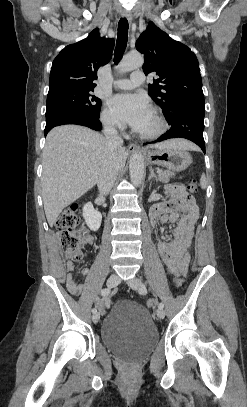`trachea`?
<instances>
[{"label":"trachea","mask_w":247,"mask_h":407,"mask_svg":"<svg viewBox=\"0 0 247 407\" xmlns=\"http://www.w3.org/2000/svg\"><path fill=\"white\" fill-rule=\"evenodd\" d=\"M128 21L126 18H121L118 23L117 43L114 53V62L117 64L125 51L128 40Z\"/></svg>","instance_id":"3493384b"}]
</instances>
